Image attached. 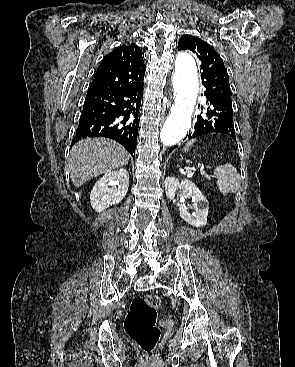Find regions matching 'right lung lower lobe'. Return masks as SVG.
Masks as SVG:
<instances>
[{
    "label": "right lung lower lobe",
    "instance_id": "right-lung-lower-lobe-1",
    "mask_svg": "<svg viewBox=\"0 0 295 367\" xmlns=\"http://www.w3.org/2000/svg\"><path fill=\"white\" fill-rule=\"evenodd\" d=\"M143 85L121 90L89 89L71 146L86 137H107L135 157Z\"/></svg>",
    "mask_w": 295,
    "mask_h": 367
}]
</instances>
